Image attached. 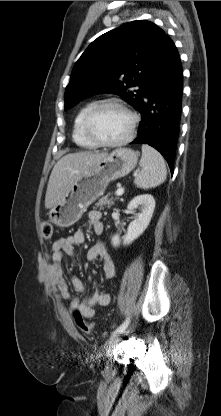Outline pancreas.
I'll list each match as a JSON object with an SVG mask.
<instances>
[{"instance_id":"pancreas-1","label":"pancreas","mask_w":221,"mask_h":416,"mask_svg":"<svg viewBox=\"0 0 221 416\" xmlns=\"http://www.w3.org/2000/svg\"><path fill=\"white\" fill-rule=\"evenodd\" d=\"M109 196L110 194H107L106 196L99 199L95 206L99 207L100 209H103L104 206L110 208L114 204V201L113 198H110Z\"/></svg>"}]
</instances>
